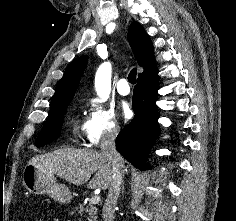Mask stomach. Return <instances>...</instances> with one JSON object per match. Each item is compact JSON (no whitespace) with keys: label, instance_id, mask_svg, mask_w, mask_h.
<instances>
[{"label":"stomach","instance_id":"stomach-1","mask_svg":"<svg viewBox=\"0 0 236 221\" xmlns=\"http://www.w3.org/2000/svg\"><path fill=\"white\" fill-rule=\"evenodd\" d=\"M23 184L29 192L47 194L61 203H68L72 199L69 188L58 184L54 174L43 171L32 164H27L23 170Z\"/></svg>","mask_w":236,"mask_h":221}]
</instances>
